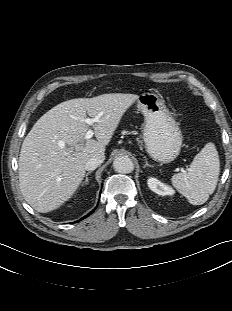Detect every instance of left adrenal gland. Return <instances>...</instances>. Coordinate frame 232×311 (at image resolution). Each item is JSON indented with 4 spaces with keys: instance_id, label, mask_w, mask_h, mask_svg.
<instances>
[{
    "instance_id": "a2214340",
    "label": "left adrenal gland",
    "mask_w": 232,
    "mask_h": 311,
    "mask_svg": "<svg viewBox=\"0 0 232 311\" xmlns=\"http://www.w3.org/2000/svg\"><path fill=\"white\" fill-rule=\"evenodd\" d=\"M143 167L145 168V167H153V166L150 165V164L148 163V161L145 159V165H144Z\"/></svg>"
}]
</instances>
